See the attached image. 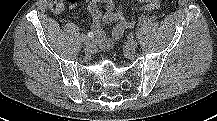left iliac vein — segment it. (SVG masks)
I'll use <instances>...</instances> for the list:
<instances>
[{
    "mask_svg": "<svg viewBox=\"0 0 217 121\" xmlns=\"http://www.w3.org/2000/svg\"><path fill=\"white\" fill-rule=\"evenodd\" d=\"M125 47H126L127 50H130V51L135 50L136 47H137L136 40H134L132 38L128 39L126 44H125Z\"/></svg>",
    "mask_w": 217,
    "mask_h": 121,
    "instance_id": "1",
    "label": "left iliac vein"
}]
</instances>
